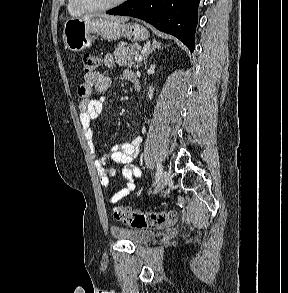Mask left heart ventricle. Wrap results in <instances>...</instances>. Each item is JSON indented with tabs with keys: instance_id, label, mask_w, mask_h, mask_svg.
Returning <instances> with one entry per match:
<instances>
[{
	"instance_id": "1",
	"label": "left heart ventricle",
	"mask_w": 288,
	"mask_h": 293,
	"mask_svg": "<svg viewBox=\"0 0 288 293\" xmlns=\"http://www.w3.org/2000/svg\"><path fill=\"white\" fill-rule=\"evenodd\" d=\"M114 1L115 0H82V2L88 6H101Z\"/></svg>"
}]
</instances>
